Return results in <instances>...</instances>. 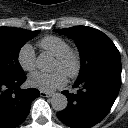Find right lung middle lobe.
Listing matches in <instances>:
<instances>
[{
	"mask_svg": "<svg viewBox=\"0 0 128 128\" xmlns=\"http://www.w3.org/2000/svg\"><path fill=\"white\" fill-rule=\"evenodd\" d=\"M39 32L40 30L0 27V78L11 79L24 74L18 62L19 51Z\"/></svg>",
	"mask_w": 128,
	"mask_h": 128,
	"instance_id": "1",
	"label": "right lung middle lobe"
}]
</instances>
